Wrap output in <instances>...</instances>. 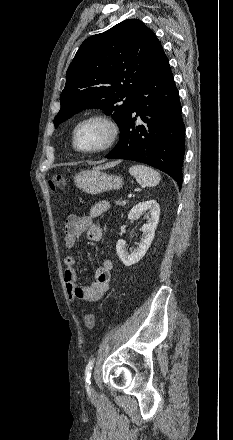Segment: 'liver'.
Instances as JSON below:
<instances>
[{
  "label": "liver",
  "mask_w": 233,
  "mask_h": 440,
  "mask_svg": "<svg viewBox=\"0 0 233 440\" xmlns=\"http://www.w3.org/2000/svg\"><path fill=\"white\" fill-rule=\"evenodd\" d=\"M112 163L106 164L105 167H111ZM98 169H100L101 167H97Z\"/></svg>",
  "instance_id": "6515ba94"
}]
</instances>
